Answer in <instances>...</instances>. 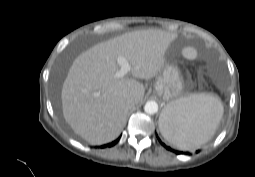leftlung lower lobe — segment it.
<instances>
[{
  "label": "left lung lower lobe",
  "mask_w": 255,
  "mask_h": 177,
  "mask_svg": "<svg viewBox=\"0 0 255 177\" xmlns=\"http://www.w3.org/2000/svg\"><path fill=\"white\" fill-rule=\"evenodd\" d=\"M160 143L162 144V146H164L167 150L169 151H172L176 154H187V155H190L189 152H183V151H178V150H175V149H172L171 147L165 145L163 142H161V140L159 139ZM200 152V150H197L196 153Z\"/></svg>",
  "instance_id": "0a47b994"
}]
</instances>
